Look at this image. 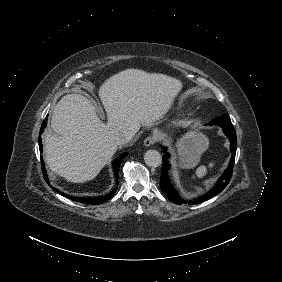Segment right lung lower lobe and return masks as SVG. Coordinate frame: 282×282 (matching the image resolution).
Returning a JSON list of instances; mask_svg holds the SVG:
<instances>
[{"instance_id":"1","label":"right lung lower lobe","mask_w":282,"mask_h":282,"mask_svg":"<svg viewBox=\"0 0 282 282\" xmlns=\"http://www.w3.org/2000/svg\"><path fill=\"white\" fill-rule=\"evenodd\" d=\"M46 121H47V118L44 120V122L42 123V127H41V131H43V129L45 128L46 126ZM41 135V133H40ZM39 135V148H40V151L42 152V144H41V137ZM128 155V152H125L123 153L120 157H118L114 162H113V169H114V172H115V177L116 179H118V173H119V166L122 162V160ZM41 159H42V156H41ZM41 164H42V170H43V173H44V178L45 180L47 181V175H46V171H45V168H44V162L41 161ZM48 183V181H47ZM118 184V182H117ZM54 191L56 192H59L57 189L55 188H52ZM116 189H117V186L115 187L114 191H112L111 193L105 195V196H101V197H96V198H76V197H71V196H68L66 195L65 193L63 192H59V194H61L62 196L64 197H67L68 199H72L74 201H77V202H81V203H86V204H92V205H98V204H102L104 202H106L107 200H109L110 198H112L116 192Z\"/></svg>"}]
</instances>
